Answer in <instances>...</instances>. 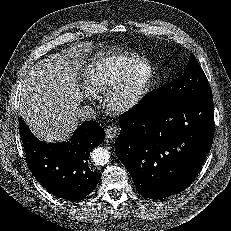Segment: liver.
<instances>
[{
    "mask_svg": "<svg viewBox=\"0 0 231 231\" xmlns=\"http://www.w3.org/2000/svg\"><path fill=\"white\" fill-rule=\"evenodd\" d=\"M80 51L73 48L40 60L24 78L20 114L37 138L64 141L79 125L77 111L83 95L72 64L79 62Z\"/></svg>",
    "mask_w": 231,
    "mask_h": 231,
    "instance_id": "1",
    "label": "liver"
}]
</instances>
